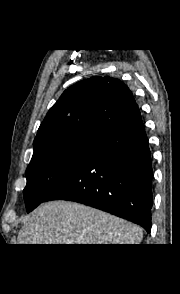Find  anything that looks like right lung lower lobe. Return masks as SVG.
Returning <instances> with one entry per match:
<instances>
[{
	"label": "right lung lower lobe",
	"instance_id": "98d812e1",
	"mask_svg": "<svg viewBox=\"0 0 180 294\" xmlns=\"http://www.w3.org/2000/svg\"><path fill=\"white\" fill-rule=\"evenodd\" d=\"M79 202L151 231L152 163L139 109L102 137L46 199Z\"/></svg>",
	"mask_w": 180,
	"mask_h": 294
}]
</instances>
